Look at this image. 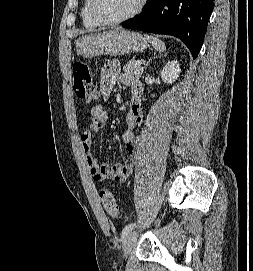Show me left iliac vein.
<instances>
[{"label": "left iliac vein", "mask_w": 253, "mask_h": 271, "mask_svg": "<svg viewBox=\"0 0 253 271\" xmlns=\"http://www.w3.org/2000/svg\"><path fill=\"white\" fill-rule=\"evenodd\" d=\"M136 240H137L136 231H131L125 236L122 244L124 257H127L130 254L133 246L136 243Z\"/></svg>", "instance_id": "1"}]
</instances>
